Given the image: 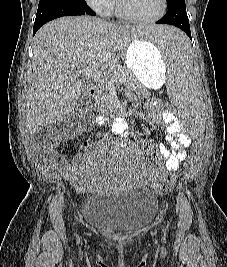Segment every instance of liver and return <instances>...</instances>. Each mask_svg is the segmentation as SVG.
I'll use <instances>...</instances> for the list:
<instances>
[{"instance_id": "obj_1", "label": "liver", "mask_w": 227, "mask_h": 267, "mask_svg": "<svg viewBox=\"0 0 227 267\" xmlns=\"http://www.w3.org/2000/svg\"><path fill=\"white\" fill-rule=\"evenodd\" d=\"M132 25L97 17H62L39 29L33 43V73L26 93V127L36 134L69 114L84 86L75 71L94 64L98 70L120 66L118 52L136 40Z\"/></svg>"}]
</instances>
